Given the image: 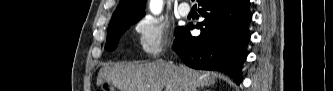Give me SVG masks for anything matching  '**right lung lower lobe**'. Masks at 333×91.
I'll use <instances>...</instances> for the list:
<instances>
[{"mask_svg":"<svg viewBox=\"0 0 333 91\" xmlns=\"http://www.w3.org/2000/svg\"><path fill=\"white\" fill-rule=\"evenodd\" d=\"M205 20L195 26L201 30L192 37V23L174 40L173 50L189 67L219 70L240 82L241 66L246 59L252 15L249 0H200Z\"/></svg>","mask_w":333,"mask_h":91,"instance_id":"98d812e1","label":"right lung lower lobe"}]
</instances>
